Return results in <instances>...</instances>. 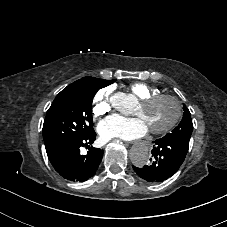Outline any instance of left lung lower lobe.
Here are the masks:
<instances>
[{"label":"left lung lower lobe","instance_id":"1","mask_svg":"<svg viewBox=\"0 0 227 227\" xmlns=\"http://www.w3.org/2000/svg\"><path fill=\"white\" fill-rule=\"evenodd\" d=\"M154 143L151 164L143 168L133 166V169L149 182H162L176 173L183 163L189 141L164 136Z\"/></svg>","mask_w":227,"mask_h":227}]
</instances>
